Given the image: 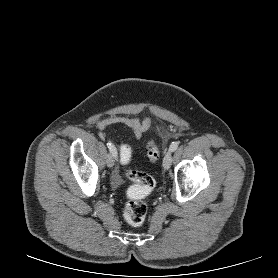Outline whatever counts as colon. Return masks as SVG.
<instances>
[{
    "label": "colon",
    "mask_w": 278,
    "mask_h": 278,
    "mask_svg": "<svg viewBox=\"0 0 278 278\" xmlns=\"http://www.w3.org/2000/svg\"><path fill=\"white\" fill-rule=\"evenodd\" d=\"M146 153L152 162L159 158V149L154 141L146 145ZM132 150L127 144L121 148V163L127 165L131 159ZM126 177L133 183L128 190V201L124 207V217L133 226L141 225L147 215V206L143 198L147 196L155 186V180L151 175L140 170L127 169Z\"/></svg>",
    "instance_id": "5ec220e1"
}]
</instances>
